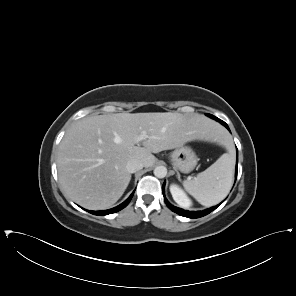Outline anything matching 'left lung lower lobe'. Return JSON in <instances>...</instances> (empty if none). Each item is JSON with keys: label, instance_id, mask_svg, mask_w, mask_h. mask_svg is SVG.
Here are the masks:
<instances>
[{"label": "left lung lower lobe", "instance_id": "0a47b994", "mask_svg": "<svg viewBox=\"0 0 296 296\" xmlns=\"http://www.w3.org/2000/svg\"><path fill=\"white\" fill-rule=\"evenodd\" d=\"M220 123H222L224 126H226L228 128V126H227V124L225 122L221 121ZM237 165H238V159H237V163H236V177H237ZM164 186H165V183H164V185L162 187L163 194H164ZM164 200H165L166 205L172 211H174L175 213H177V214H179L181 216L188 217V218H199V217L205 216V215L209 214L210 212H212L213 210H215L221 204L220 203L219 205H217L215 207H211L210 209H206L204 211L190 212V211H186V210H183L181 208H178V207H175V206L171 205L167 201V199L165 198V196H164Z\"/></svg>", "mask_w": 296, "mask_h": 296}]
</instances>
